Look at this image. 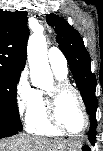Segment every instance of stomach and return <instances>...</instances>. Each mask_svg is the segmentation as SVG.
<instances>
[{
  "label": "stomach",
  "instance_id": "stomach-1",
  "mask_svg": "<svg viewBox=\"0 0 103 151\" xmlns=\"http://www.w3.org/2000/svg\"><path fill=\"white\" fill-rule=\"evenodd\" d=\"M74 151H82V148H79V149H77V150H74Z\"/></svg>",
  "mask_w": 103,
  "mask_h": 151
}]
</instances>
